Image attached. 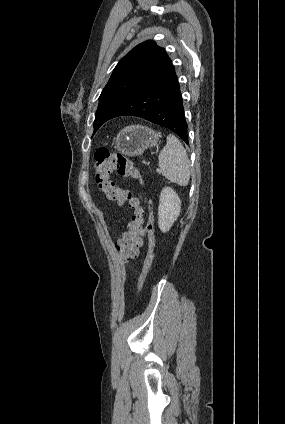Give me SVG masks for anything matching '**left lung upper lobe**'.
Returning a JSON list of instances; mask_svg holds the SVG:
<instances>
[{
  "mask_svg": "<svg viewBox=\"0 0 285 424\" xmlns=\"http://www.w3.org/2000/svg\"><path fill=\"white\" fill-rule=\"evenodd\" d=\"M169 62L166 51L152 40L127 53L114 68L99 97L93 135L114 109L155 80Z\"/></svg>",
  "mask_w": 285,
  "mask_h": 424,
  "instance_id": "5c2ea615",
  "label": "left lung upper lobe"
}]
</instances>
